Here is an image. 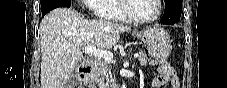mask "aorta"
I'll list each match as a JSON object with an SVG mask.
<instances>
[{"label":"aorta","mask_w":227,"mask_h":88,"mask_svg":"<svg viewBox=\"0 0 227 88\" xmlns=\"http://www.w3.org/2000/svg\"><path fill=\"white\" fill-rule=\"evenodd\" d=\"M122 88H126V85L123 84V85H122Z\"/></svg>","instance_id":"obj_1"}]
</instances>
